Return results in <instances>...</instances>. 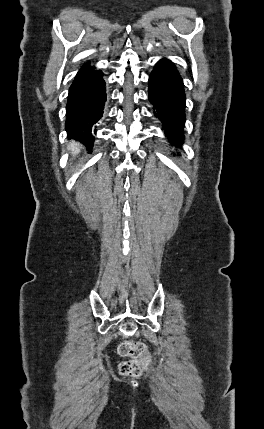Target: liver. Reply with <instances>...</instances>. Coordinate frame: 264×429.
I'll use <instances>...</instances> for the list:
<instances>
[{"mask_svg":"<svg viewBox=\"0 0 264 429\" xmlns=\"http://www.w3.org/2000/svg\"><path fill=\"white\" fill-rule=\"evenodd\" d=\"M80 144L78 142L72 141L68 146V149L72 152V155H75L79 152Z\"/></svg>","mask_w":264,"mask_h":429,"instance_id":"6515ba94","label":"liver"}]
</instances>
